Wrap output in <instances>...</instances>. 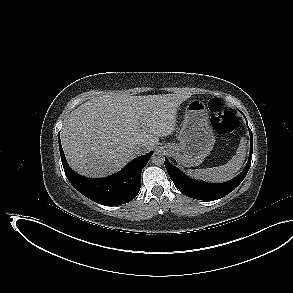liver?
Wrapping results in <instances>:
<instances>
[{"mask_svg":"<svg viewBox=\"0 0 293 293\" xmlns=\"http://www.w3.org/2000/svg\"><path fill=\"white\" fill-rule=\"evenodd\" d=\"M190 93L93 97L72 111L61 130L63 150L77 173L97 178L123 168L176 128L179 106ZM140 146V149L137 147Z\"/></svg>","mask_w":293,"mask_h":293,"instance_id":"1","label":"liver"}]
</instances>
